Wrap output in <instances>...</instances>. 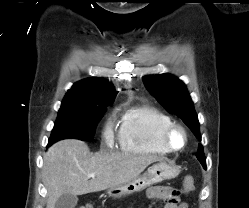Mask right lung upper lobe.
<instances>
[{
  "instance_id": "cb5924a9",
  "label": "right lung upper lobe",
  "mask_w": 249,
  "mask_h": 208,
  "mask_svg": "<svg viewBox=\"0 0 249 208\" xmlns=\"http://www.w3.org/2000/svg\"><path fill=\"white\" fill-rule=\"evenodd\" d=\"M116 94L117 91L109 82L87 78L75 83L68 90L61 106L106 107L114 101Z\"/></svg>"
}]
</instances>
